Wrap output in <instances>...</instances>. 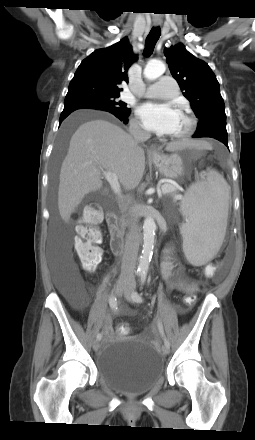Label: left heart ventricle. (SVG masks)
Here are the masks:
<instances>
[{
    "instance_id": "obj_1",
    "label": "left heart ventricle",
    "mask_w": 255,
    "mask_h": 440,
    "mask_svg": "<svg viewBox=\"0 0 255 440\" xmlns=\"http://www.w3.org/2000/svg\"><path fill=\"white\" fill-rule=\"evenodd\" d=\"M186 126H187L186 118L182 115V113L179 112L176 127L172 134L174 135L180 133L185 129Z\"/></svg>"
}]
</instances>
